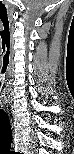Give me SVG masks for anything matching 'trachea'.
Returning a JSON list of instances; mask_svg holds the SVG:
<instances>
[{
	"label": "trachea",
	"mask_w": 74,
	"mask_h": 154,
	"mask_svg": "<svg viewBox=\"0 0 74 154\" xmlns=\"http://www.w3.org/2000/svg\"><path fill=\"white\" fill-rule=\"evenodd\" d=\"M12 135L9 116L6 112H0V141L7 142Z\"/></svg>",
	"instance_id": "1"
}]
</instances>
